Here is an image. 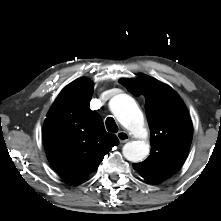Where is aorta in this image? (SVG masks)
<instances>
[{"instance_id":"obj_1","label":"aorta","mask_w":221,"mask_h":221,"mask_svg":"<svg viewBox=\"0 0 221 221\" xmlns=\"http://www.w3.org/2000/svg\"><path fill=\"white\" fill-rule=\"evenodd\" d=\"M109 106L119 123L131 134L139 138L147 136L143 113L131 96L118 94L110 100ZM149 148L144 140L131 141L124 145L123 155L131 162H139L149 154Z\"/></svg>"}]
</instances>
